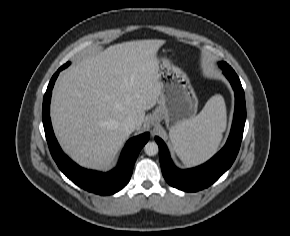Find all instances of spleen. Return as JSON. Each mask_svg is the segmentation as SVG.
Returning <instances> with one entry per match:
<instances>
[{"label":"spleen","mask_w":290,"mask_h":236,"mask_svg":"<svg viewBox=\"0 0 290 236\" xmlns=\"http://www.w3.org/2000/svg\"><path fill=\"white\" fill-rule=\"evenodd\" d=\"M226 128V106L221 95L212 96L202 111L170 130V139L187 166L203 163L218 149Z\"/></svg>","instance_id":"3e777b00"}]
</instances>
